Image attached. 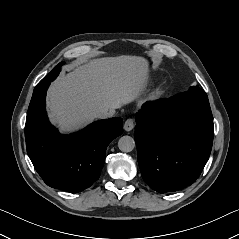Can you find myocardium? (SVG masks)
I'll use <instances>...</instances> for the list:
<instances>
[{
    "label": "myocardium",
    "instance_id": "1",
    "mask_svg": "<svg viewBox=\"0 0 239 239\" xmlns=\"http://www.w3.org/2000/svg\"><path fill=\"white\" fill-rule=\"evenodd\" d=\"M163 95V91L161 89H158L154 94V99H158Z\"/></svg>",
    "mask_w": 239,
    "mask_h": 239
}]
</instances>
